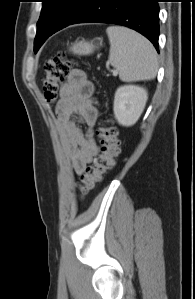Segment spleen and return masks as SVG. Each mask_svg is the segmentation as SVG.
I'll return each instance as SVG.
<instances>
[{
  "mask_svg": "<svg viewBox=\"0 0 195 299\" xmlns=\"http://www.w3.org/2000/svg\"><path fill=\"white\" fill-rule=\"evenodd\" d=\"M109 62L125 82L153 79L158 71L157 52L152 43L139 33L122 26H110Z\"/></svg>",
  "mask_w": 195,
  "mask_h": 299,
  "instance_id": "obj_1",
  "label": "spleen"
}]
</instances>
